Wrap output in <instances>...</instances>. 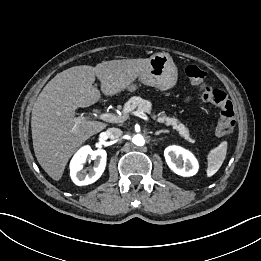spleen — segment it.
Listing matches in <instances>:
<instances>
[{
	"mask_svg": "<svg viewBox=\"0 0 261 261\" xmlns=\"http://www.w3.org/2000/svg\"><path fill=\"white\" fill-rule=\"evenodd\" d=\"M227 153V142H221L216 148L208 154L207 176H213L222 166Z\"/></svg>",
	"mask_w": 261,
	"mask_h": 261,
	"instance_id": "1",
	"label": "spleen"
}]
</instances>
